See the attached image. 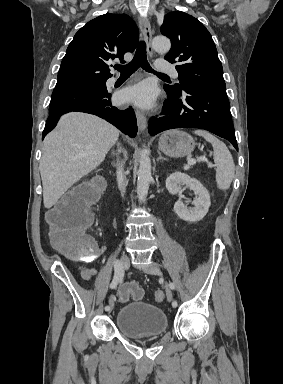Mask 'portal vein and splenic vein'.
<instances>
[{"label": "portal vein and splenic vein", "instance_id": "obj_1", "mask_svg": "<svg viewBox=\"0 0 283 384\" xmlns=\"http://www.w3.org/2000/svg\"><path fill=\"white\" fill-rule=\"evenodd\" d=\"M197 160H188L187 164L188 166H194V164H196ZM198 162H207L208 164V160L207 158H198ZM208 168H212L211 164H208Z\"/></svg>", "mask_w": 283, "mask_h": 384}]
</instances>
